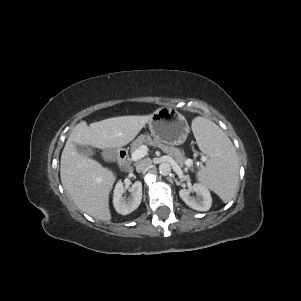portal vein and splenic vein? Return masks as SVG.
<instances>
[{
    "label": "portal vein and splenic vein",
    "mask_w": 301,
    "mask_h": 301,
    "mask_svg": "<svg viewBox=\"0 0 301 301\" xmlns=\"http://www.w3.org/2000/svg\"><path fill=\"white\" fill-rule=\"evenodd\" d=\"M147 152H148V148L146 145H141L138 149H136L132 155H131V159L132 161H137L143 157H145L147 155ZM202 161H206V157H203L202 158ZM193 164V161L191 159H188L186 161V165L187 166H191Z\"/></svg>",
    "instance_id": "18ae733b"
}]
</instances>
